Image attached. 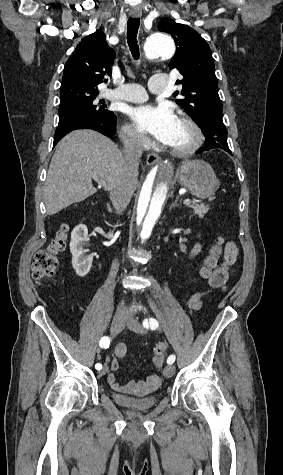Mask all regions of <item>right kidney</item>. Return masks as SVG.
I'll list each match as a JSON object with an SVG mask.
<instances>
[{"instance_id":"ca27d5eb","label":"right kidney","mask_w":283,"mask_h":475,"mask_svg":"<svg viewBox=\"0 0 283 475\" xmlns=\"http://www.w3.org/2000/svg\"><path fill=\"white\" fill-rule=\"evenodd\" d=\"M86 239H88L87 226H84V224L75 226L71 232L70 251L72 253V265L80 277L90 271L93 261L92 255H86V251H89V249H84Z\"/></svg>"}]
</instances>
